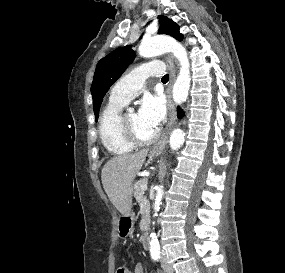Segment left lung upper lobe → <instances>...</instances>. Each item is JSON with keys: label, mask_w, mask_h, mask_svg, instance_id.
I'll return each instance as SVG.
<instances>
[{"label": "left lung upper lobe", "mask_w": 285, "mask_h": 273, "mask_svg": "<svg viewBox=\"0 0 285 273\" xmlns=\"http://www.w3.org/2000/svg\"><path fill=\"white\" fill-rule=\"evenodd\" d=\"M160 27L158 34L171 35L177 40L181 41L183 35L179 32V26L172 20L158 16ZM135 53L131 46H125L116 49L101 59L96 66L94 79L91 86V93L93 98V109L96 121L99 115V108L102 99L111 85L121 76L127 66L134 60Z\"/></svg>", "instance_id": "left-lung-upper-lobe-1"}]
</instances>
